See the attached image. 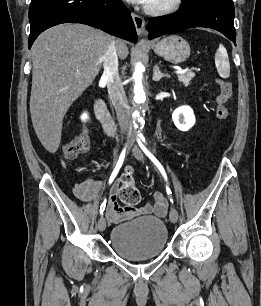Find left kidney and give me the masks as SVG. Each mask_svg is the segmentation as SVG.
Here are the masks:
<instances>
[{
  "label": "left kidney",
  "instance_id": "obj_1",
  "mask_svg": "<svg viewBox=\"0 0 261 306\" xmlns=\"http://www.w3.org/2000/svg\"><path fill=\"white\" fill-rule=\"evenodd\" d=\"M172 119L180 131H188L195 124L194 112L189 106H181L175 109Z\"/></svg>",
  "mask_w": 261,
  "mask_h": 306
}]
</instances>
